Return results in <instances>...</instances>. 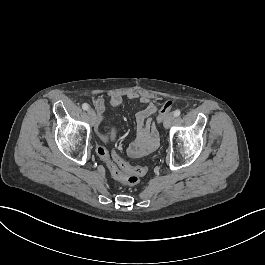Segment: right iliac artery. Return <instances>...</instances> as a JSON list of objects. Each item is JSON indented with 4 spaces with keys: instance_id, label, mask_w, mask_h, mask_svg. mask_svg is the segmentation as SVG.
Masks as SVG:
<instances>
[{
    "instance_id": "right-iliac-artery-1",
    "label": "right iliac artery",
    "mask_w": 265,
    "mask_h": 265,
    "mask_svg": "<svg viewBox=\"0 0 265 265\" xmlns=\"http://www.w3.org/2000/svg\"><path fill=\"white\" fill-rule=\"evenodd\" d=\"M82 108H83L84 110H88V109H89V105H88L87 103H84V104L82 105Z\"/></svg>"
}]
</instances>
